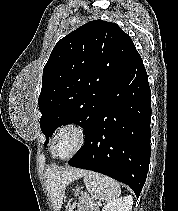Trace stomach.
<instances>
[{"mask_svg":"<svg viewBox=\"0 0 178 211\" xmlns=\"http://www.w3.org/2000/svg\"><path fill=\"white\" fill-rule=\"evenodd\" d=\"M74 194H75V196H77L79 194V188L75 190Z\"/></svg>","mask_w":178,"mask_h":211,"instance_id":"0dacf381","label":"stomach"}]
</instances>
